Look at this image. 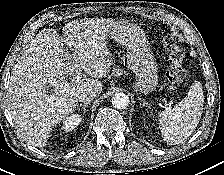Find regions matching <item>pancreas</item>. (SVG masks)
Instances as JSON below:
<instances>
[{
    "instance_id": "1",
    "label": "pancreas",
    "mask_w": 224,
    "mask_h": 175,
    "mask_svg": "<svg viewBox=\"0 0 224 175\" xmlns=\"http://www.w3.org/2000/svg\"><path fill=\"white\" fill-rule=\"evenodd\" d=\"M121 71H122V70L119 69V68H116V69L113 70V72H121Z\"/></svg>"
}]
</instances>
